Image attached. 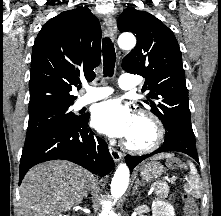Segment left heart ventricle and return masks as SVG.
Listing matches in <instances>:
<instances>
[{"instance_id":"obj_1","label":"left heart ventricle","mask_w":221,"mask_h":216,"mask_svg":"<svg viewBox=\"0 0 221 216\" xmlns=\"http://www.w3.org/2000/svg\"><path fill=\"white\" fill-rule=\"evenodd\" d=\"M152 137L153 129L151 125L142 119H134L132 129L127 139L133 144L143 145L149 143Z\"/></svg>"}]
</instances>
